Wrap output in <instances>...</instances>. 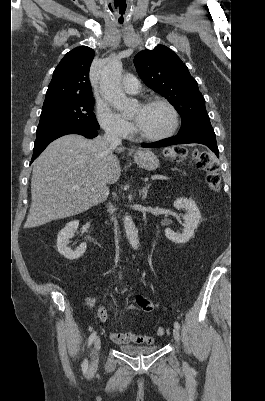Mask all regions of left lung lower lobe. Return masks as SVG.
<instances>
[{"label": "left lung lower lobe", "instance_id": "obj_1", "mask_svg": "<svg viewBox=\"0 0 265 401\" xmlns=\"http://www.w3.org/2000/svg\"><path fill=\"white\" fill-rule=\"evenodd\" d=\"M188 143H199L206 145L219 157L216 136L210 122L200 124L185 131H181L175 137L160 140L154 143H142L141 146L145 148H155Z\"/></svg>", "mask_w": 265, "mask_h": 401}]
</instances>
